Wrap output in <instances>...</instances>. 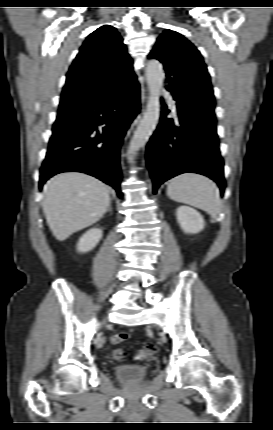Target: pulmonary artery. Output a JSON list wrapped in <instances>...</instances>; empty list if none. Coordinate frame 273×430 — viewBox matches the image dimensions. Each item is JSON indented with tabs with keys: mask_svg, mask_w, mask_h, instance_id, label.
<instances>
[{
	"mask_svg": "<svg viewBox=\"0 0 273 430\" xmlns=\"http://www.w3.org/2000/svg\"><path fill=\"white\" fill-rule=\"evenodd\" d=\"M162 93L167 98L172 111L176 114V112H177L176 104H175L174 100L172 99L170 93L165 91V90H163Z\"/></svg>",
	"mask_w": 273,
	"mask_h": 430,
	"instance_id": "1",
	"label": "pulmonary artery"
}]
</instances>
